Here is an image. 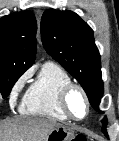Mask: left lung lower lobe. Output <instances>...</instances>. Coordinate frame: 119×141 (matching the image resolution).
Returning a JSON list of instances; mask_svg holds the SVG:
<instances>
[{"label":"left lung lower lobe","instance_id":"left-lung-lower-lobe-1","mask_svg":"<svg viewBox=\"0 0 119 141\" xmlns=\"http://www.w3.org/2000/svg\"><path fill=\"white\" fill-rule=\"evenodd\" d=\"M101 122H102V131H103V133H104L106 136H108V135H107V132H106L107 119L104 118Z\"/></svg>","mask_w":119,"mask_h":141}]
</instances>
